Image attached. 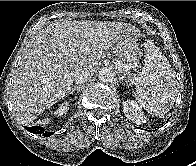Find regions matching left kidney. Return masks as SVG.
Returning <instances> with one entry per match:
<instances>
[{
    "instance_id": "obj_1",
    "label": "left kidney",
    "mask_w": 196,
    "mask_h": 166,
    "mask_svg": "<svg viewBox=\"0 0 196 166\" xmlns=\"http://www.w3.org/2000/svg\"><path fill=\"white\" fill-rule=\"evenodd\" d=\"M125 116L137 125L146 123V117L136 101L127 100L122 103Z\"/></svg>"
}]
</instances>
